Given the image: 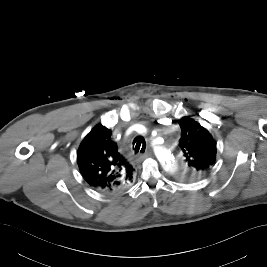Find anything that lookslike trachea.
<instances>
[{
    "label": "trachea",
    "instance_id": "obj_1",
    "mask_svg": "<svg viewBox=\"0 0 267 267\" xmlns=\"http://www.w3.org/2000/svg\"><path fill=\"white\" fill-rule=\"evenodd\" d=\"M146 149V142L143 137L138 136L133 140V150L135 154L144 153Z\"/></svg>",
    "mask_w": 267,
    "mask_h": 267
}]
</instances>
